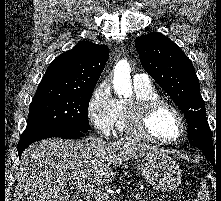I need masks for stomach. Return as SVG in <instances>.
I'll return each mask as SVG.
<instances>
[{"instance_id": "1", "label": "stomach", "mask_w": 221, "mask_h": 201, "mask_svg": "<svg viewBox=\"0 0 221 201\" xmlns=\"http://www.w3.org/2000/svg\"><path fill=\"white\" fill-rule=\"evenodd\" d=\"M142 177L160 192L176 189L182 179L179 165L164 151L146 155L138 166Z\"/></svg>"}]
</instances>
